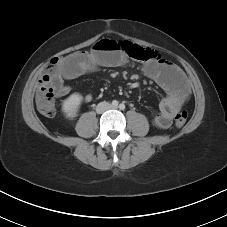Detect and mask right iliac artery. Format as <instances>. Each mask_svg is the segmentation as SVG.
Here are the masks:
<instances>
[{"label":"right iliac artery","mask_w":227,"mask_h":227,"mask_svg":"<svg viewBox=\"0 0 227 227\" xmlns=\"http://www.w3.org/2000/svg\"><path fill=\"white\" fill-rule=\"evenodd\" d=\"M112 105H113L114 107H117V106H118V101H117V100H113V101H112Z\"/></svg>","instance_id":"right-iliac-artery-1"}]
</instances>
